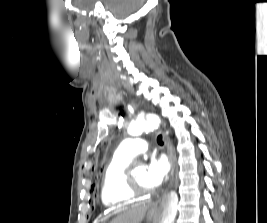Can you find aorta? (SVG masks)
Here are the masks:
<instances>
[{"label": "aorta", "mask_w": 267, "mask_h": 223, "mask_svg": "<svg viewBox=\"0 0 267 223\" xmlns=\"http://www.w3.org/2000/svg\"><path fill=\"white\" fill-rule=\"evenodd\" d=\"M159 123V119L155 117L147 118L145 120H137L129 125L127 131L131 136H139L143 132L152 131L158 128ZM140 169V167L136 168V170ZM178 202V194L174 191L163 196L159 203L157 223H174Z\"/></svg>", "instance_id": "obj_1"}]
</instances>
